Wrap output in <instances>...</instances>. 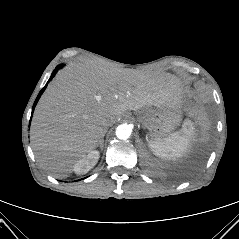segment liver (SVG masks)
<instances>
[{"mask_svg":"<svg viewBox=\"0 0 239 239\" xmlns=\"http://www.w3.org/2000/svg\"><path fill=\"white\" fill-rule=\"evenodd\" d=\"M186 92L169 74L71 66L52 80L35 108L31 142L36 159L53 177L65 178L95 149L106 119L118 121L144 107L182 105Z\"/></svg>","mask_w":239,"mask_h":239,"instance_id":"obj_1","label":"liver"}]
</instances>
